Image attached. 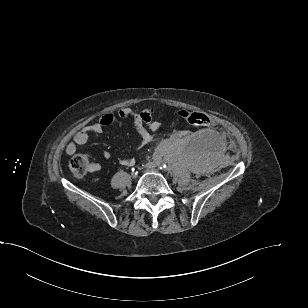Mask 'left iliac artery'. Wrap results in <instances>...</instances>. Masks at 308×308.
Listing matches in <instances>:
<instances>
[{
    "mask_svg": "<svg viewBox=\"0 0 308 308\" xmlns=\"http://www.w3.org/2000/svg\"><path fill=\"white\" fill-rule=\"evenodd\" d=\"M159 168L162 169V170H166L167 169V165H165V164L160 165Z\"/></svg>",
    "mask_w": 308,
    "mask_h": 308,
    "instance_id": "1",
    "label": "left iliac artery"
}]
</instances>
